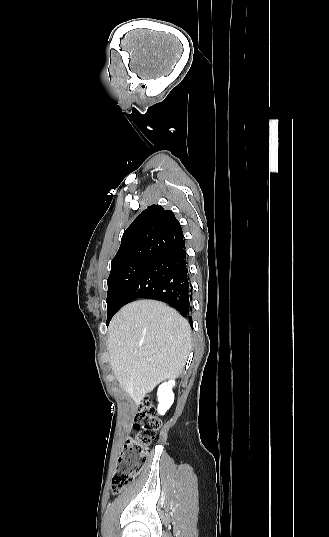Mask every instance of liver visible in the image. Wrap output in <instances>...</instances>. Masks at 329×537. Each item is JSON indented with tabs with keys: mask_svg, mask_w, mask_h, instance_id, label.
Returning <instances> with one entry per match:
<instances>
[{
	"mask_svg": "<svg viewBox=\"0 0 329 537\" xmlns=\"http://www.w3.org/2000/svg\"><path fill=\"white\" fill-rule=\"evenodd\" d=\"M190 348L188 321L158 301L139 300L125 305L108 328L112 371L136 403L160 382L183 372Z\"/></svg>",
	"mask_w": 329,
	"mask_h": 537,
	"instance_id": "1",
	"label": "liver"
}]
</instances>
